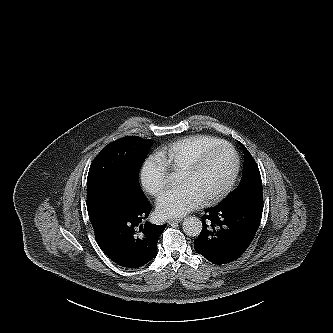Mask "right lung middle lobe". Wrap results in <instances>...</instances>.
<instances>
[{
	"mask_svg": "<svg viewBox=\"0 0 333 333\" xmlns=\"http://www.w3.org/2000/svg\"><path fill=\"white\" fill-rule=\"evenodd\" d=\"M151 146V140L128 136L103 148L93 160L87 177L88 214L104 204L126 208L133 201H147L138 174Z\"/></svg>",
	"mask_w": 333,
	"mask_h": 333,
	"instance_id": "right-lung-middle-lobe-1",
	"label": "right lung middle lobe"
}]
</instances>
